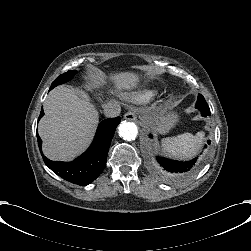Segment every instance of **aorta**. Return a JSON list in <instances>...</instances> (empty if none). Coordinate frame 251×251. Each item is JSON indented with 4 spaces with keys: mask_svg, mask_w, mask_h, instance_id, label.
<instances>
[{
    "mask_svg": "<svg viewBox=\"0 0 251 251\" xmlns=\"http://www.w3.org/2000/svg\"><path fill=\"white\" fill-rule=\"evenodd\" d=\"M118 133L124 140L135 139L137 135V126L134 122H122L118 127Z\"/></svg>",
    "mask_w": 251,
    "mask_h": 251,
    "instance_id": "762f6f07",
    "label": "aorta"
}]
</instances>
